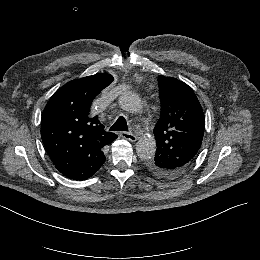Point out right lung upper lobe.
Listing matches in <instances>:
<instances>
[{
  "mask_svg": "<svg viewBox=\"0 0 260 260\" xmlns=\"http://www.w3.org/2000/svg\"><path fill=\"white\" fill-rule=\"evenodd\" d=\"M112 81L110 74L70 81L52 95L43 111L44 146L55 167L68 178L93 176L105 162L104 146L117 138L89 113L93 99Z\"/></svg>",
  "mask_w": 260,
  "mask_h": 260,
  "instance_id": "1",
  "label": "right lung upper lobe"
}]
</instances>
